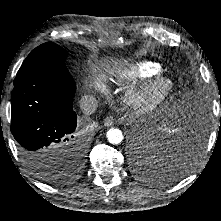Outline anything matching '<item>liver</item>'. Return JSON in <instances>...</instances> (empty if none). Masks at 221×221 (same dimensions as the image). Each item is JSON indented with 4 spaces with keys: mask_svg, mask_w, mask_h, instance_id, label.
Masks as SVG:
<instances>
[{
    "mask_svg": "<svg viewBox=\"0 0 221 221\" xmlns=\"http://www.w3.org/2000/svg\"><path fill=\"white\" fill-rule=\"evenodd\" d=\"M125 64V61L113 58H106L101 61L95 60V62H90V75L93 80H97L106 74L121 70ZM53 162L54 161L50 159L46 167H49Z\"/></svg>",
    "mask_w": 221,
    "mask_h": 221,
    "instance_id": "6515ba94",
    "label": "liver"
}]
</instances>
